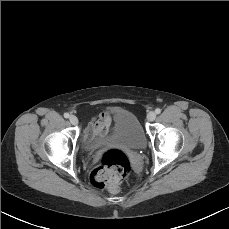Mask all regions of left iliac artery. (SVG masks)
Segmentation results:
<instances>
[{
    "label": "left iliac artery",
    "instance_id": "44dca946",
    "mask_svg": "<svg viewBox=\"0 0 229 229\" xmlns=\"http://www.w3.org/2000/svg\"><path fill=\"white\" fill-rule=\"evenodd\" d=\"M155 112H156V114H160L161 113V109L157 108V109H155Z\"/></svg>",
    "mask_w": 229,
    "mask_h": 229
}]
</instances>
